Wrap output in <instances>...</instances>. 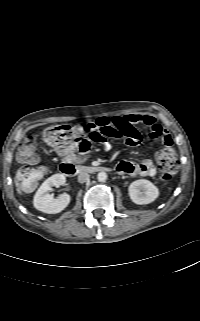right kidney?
<instances>
[{"label":"right kidney","instance_id":"1","mask_svg":"<svg viewBox=\"0 0 200 321\" xmlns=\"http://www.w3.org/2000/svg\"><path fill=\"white\" fill-rule=\"evenodd\" d=\"M65 182L66 178L63 174H54L46 179L34 196V207L47 214H56L64 210L70 203V196L63 193L59 197L54 198L52 194H49V191L52 187L64 185Z\"/></svg>","mask_w":200,"mask_h":321}]
</instances>
